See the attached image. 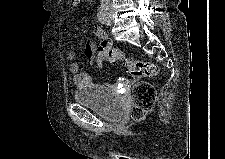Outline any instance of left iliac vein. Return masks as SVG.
<instances>
[{
	"label": "left iliac vein",
	"mask_w": 225,
	"mask_h": 159,
	"mask_svg": "<svg viewBox=\"0 0 225 159\" xmlns=\"http://www.w3.org/2000/svg\"><path fill=\"white\" fill-rule=\"evenodd\" d=\"M105 22L107 26H111L113 24V17L111 15H107Z\"/></svg>",
	"instance_id": "left-iliac-vein-1"
}]
</instances>
